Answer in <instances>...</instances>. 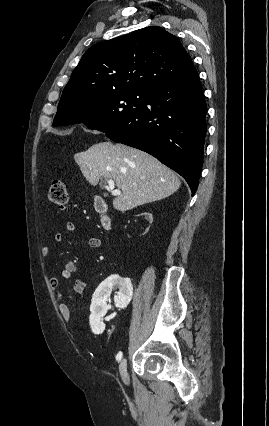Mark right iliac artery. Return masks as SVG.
<instances>
[{"instance_id": "1", "label": "right iliac artery", "mask_w": 269, "mask_h": 426, "mask_svg": "<svg viewBox=\"0 0 269 426\" xmlns=\"http://www.w3.org/2000/svg\"><path fill=\"white\" fill-rule=\"evenodd\" d=\"M122 352H119L117 355H116V360L117 361H120L121 360V358H122Z\"/></svg>"}]
</instances>
